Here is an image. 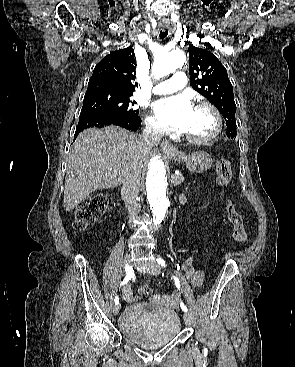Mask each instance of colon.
<instances>
[{
	"label": "colon",
	"instance_id": "1",
	"mask_svg": "<svg viewBox=\"0 0 295 367\" xmlns=\"http://www.w3.org/2000/svg\"><path fill=\"white\" fill-rule=\"evenodd\" d=\"M215 171L217 174V183L220 186H226L231 179V164L227 159H219L215 164ZM194 203L196 206L194 209L198 212L207 211V207L212 203L213 199L209 195H195L193 196ZM204 203H206L204 205ZM107 207V198L103 194H96L86 198L77 207L74 217V226L78 230H82L92 224L96 219H98ZM227 217L231 225L233 226V238L238 243H244L247 239L246 232L243 226L242 216L237 212L233 203L231 201L227 202ZM144 294L152 293V289L144 285L141 288Z\"/></svg>",
	"mask_w": 295,
	"mask_h": 367
}]
</instances>
